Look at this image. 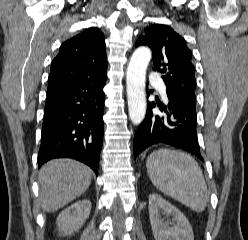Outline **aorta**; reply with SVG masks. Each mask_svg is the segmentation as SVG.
Wrapping results in <instances>:
<instances>
[{
  "label": "aorta",
  "instance_id": "aorta-1",
  "mask_svg": "<svg viewBox=\"0 0 248 240\" xmlns=\"http://www.w3.org/2000/svg\"><path fill=\"white\" fill-rule=\"evenodd\" d=\"M151 59V51L146 47L138 48L132 55L126 77L128 110L130 120L139 125L146 114L145 80L146 69Z\"/></svg>",
  "mask_w": 248,
  "mask_h": 240
}]
</instances>
